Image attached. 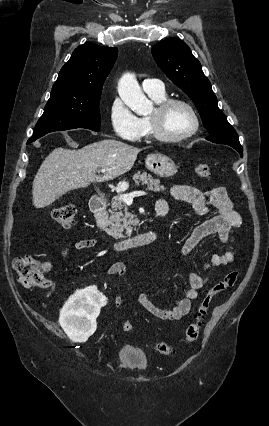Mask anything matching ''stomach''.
Returning a JSON list of instances; mask_svg holds the SVG:
<instances>
[{"mask_svg":"<svg viewBox=\"0 0 269 426\" xmlns=\"http://www.w3.org/2000/svg\"><path fill=\"white\" fill-rule=\"evenodd\" d=\"M146 167L160 177H171L177 172L174 161L161 154H150L145 160Z\"/></svg>","mask_w":269,"mask_h":426,"instance_id":"0dacf381","label":"stomach"}]
</instances>
